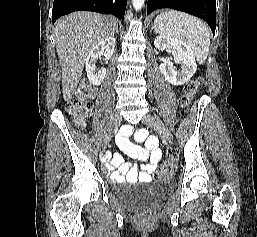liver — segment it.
I'll use <instances>...</instances> for the list:
<instances>
[{"mask_svg":"<svg viewBox=\"0 0 257 237\" xmlns=\"http://www.w3.org/2000/svg\"><path fill=\"white\" fill-rule=\"evenodd\" d=\"M117 30L111 16L79 11L60 18L55 24V41L62 68V93L72 98L91 49Z\"/></svg>","mask_w":257,"mask_h":237,"instance_id":"6515ba94","label":"liver"}]
</instances>
